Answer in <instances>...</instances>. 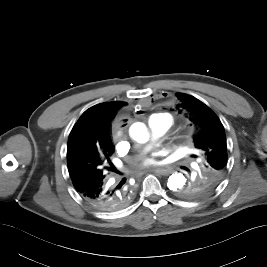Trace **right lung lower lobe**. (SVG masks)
I'll list each match as a JSON object with an SVG mask.
<instances>
[{
	"instance_id": "obj_1",
	"label": "right lung lower lobe",
	"mask_w": 267,
	"mask_h": 267,
	"mask_svg": "<svg viewBox=\"0 0 267 267\" xmlns=\"http://www.w3.org/2000/svg\"><path fill=\"white\" fill-rule=\"evenodd\" d=\"M82 198L93 207L104 211H116L125 207L133 193L128 188L108 186L106 178L75 186Z\"/></svg>"
}]
</instances>
